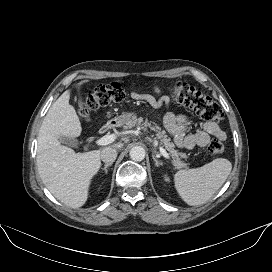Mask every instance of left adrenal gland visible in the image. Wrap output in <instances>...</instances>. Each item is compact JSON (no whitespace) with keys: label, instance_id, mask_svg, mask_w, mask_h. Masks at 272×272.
<instances>
[{"label":"left adrenal gland","instance_id":"left-adrenal-gland-1","mask_svg":"<svg viewBox=\"0 0 272 272\" xmlns=\"http://www.w3.org/2000/svg\"><path fill=\"white\" fill-rule=\"evenodd\" d=\"M152 158H153V160H154V162H155V165H156L157 167H160V166L163 165L162 162H160V161L157 160V158L155 157V155H152Z\"/></svg>","mask_w":272,"mask_h":272}]
</instances>
